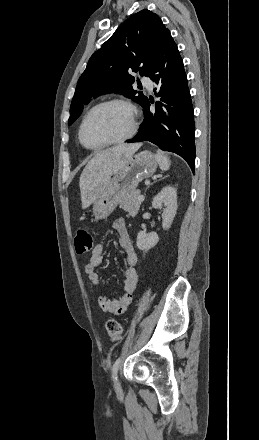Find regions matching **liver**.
I'll list each match as a JSON object with an SVG mask.
<instances>
[{"label":"liver","mask_w":259,"mask_h":440,"mask_svg":"<svg viewBox=\"0 0 259 440\" xmlns=\"http://www.w3.org/2000/svg\"><path fill=\"white\" fill-rule=\"evenodd\" d=\"M141 143L120 144L98 152L80 176L82 208L89 207L105 190L111 176L118 173L141 147Z\"/></svg>","instance_id":"6515ba94"}]
</instances>
